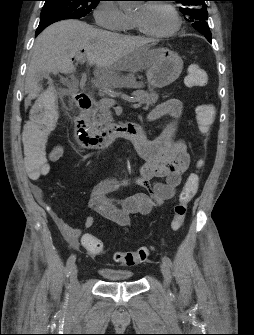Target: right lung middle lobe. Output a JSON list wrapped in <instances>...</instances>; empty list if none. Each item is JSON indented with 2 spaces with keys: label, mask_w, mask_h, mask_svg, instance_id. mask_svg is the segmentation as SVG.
<instances>
[{
  "label": "right lung middle lobe",
  "mask_w": 254,
  "mask_h": 335,
  "mask_svg": "<svg viewBox=\"0 0 254 335\" xmlns=\"http://www.w3.org/2000/svg\"><path fill=\"white\" fill-rule=\"evenodd\" d=\"M40 18L61 15L70 19L86 16L100 0H44Z\"/></svg>",
  "instance_id": "dd1d6c3e"
}]
</instances>
